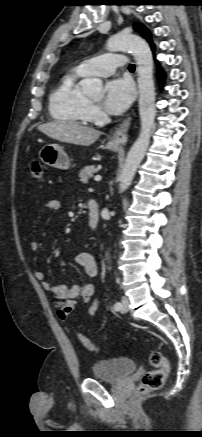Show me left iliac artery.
<instances>
[{"label": "left iliac artery", "mask_w": 202, "mask_h": 437, "mask_svg": "<svg viewBox=\"0 0 202 437\" xmlns=\"http://www.w3.org/2000/svg\"><path fill=\"white\" fill-rule=\"evenodd\" d=\"M120 308H121V303H120V302H116V303L114 304V309H115L116 311H118V310H120Z\"/></svg>", "instance_id": "1"}]
</instances>
